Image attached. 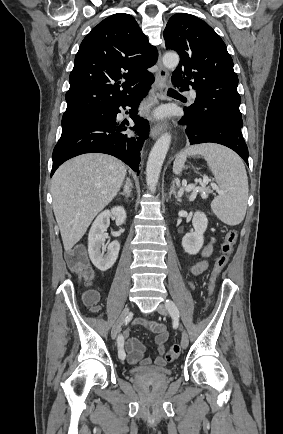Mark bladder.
Wrapping results in <instances>:
<instances>
[{"label": "bladder", "mask_w": 283, "mask_h": 434, "mask_svg": "<svg viewBox=\"0 0 283 434\" xmlns=\"http://www.w3.org/2000/svg\"><path fill=\"white\" fill-rule=\"evenodd\" d=\"M131 373L137 377L164 378L171 374L167 368L134 367Z\"/></svg>", "instance_id": "31cf9c89"}]
</instances>
